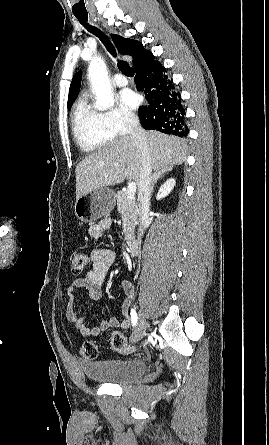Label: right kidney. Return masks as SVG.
Returning a JSON list of instances; mask_svg holds the SVG:
<instances>
[{"label":"right kidney","mask_w":269,"mask_h":445,"mask_svg":"<svg viewBox=\"0 0 269 445\" xmlns=\"http://www.w3.org/2000/svg\"><path fill=\"white\" fill-rule=\"evenodd\" d=\"M176 181L174 178H169L164 184L161 185L157 193L156 199L160 200L166 197L174 188Z\"/></svg>","instance_id":"1"}]
</instances>
